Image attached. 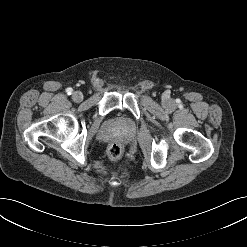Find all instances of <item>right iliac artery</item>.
Returning <instances> with one entry per match:
<instances>
[{
    "label": "right iliac artery",
    "instance_id": "right-iliac-artery-1",
    "mask_svg": "<svg viewBox=\"0 0 247 247\" xmlns=\"http://www.w3.org/2000/svg\"><path fill=\"white\" fill-rule=\"evenodd\" d=\"M66 92H67L68 95H71L72 92H73V89L72 88H67L66 89Z\"/></svg>",
    "mask_w": 247,
    "mask_h": 247
}]
</instances>
